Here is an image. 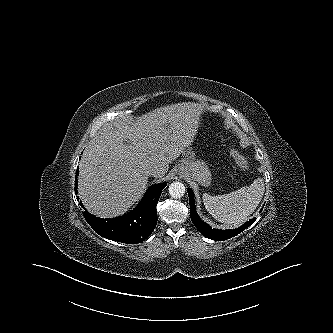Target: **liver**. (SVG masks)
Masks as SVG:
<instances>
[{
    "instance_id": "1",
    "label": "liver",
    "mask_w": 333,
    "mask_h": 333,
    "mask_svg": "<svg viewBox=\"0 0 333 333\" xmlns=\"http://www.w3.org/2000/svg\"><path fill=\"white\" fill-rule=\"evenodd\" d=\"M201 106L178 103L114 126L105 125L83 152L78 192L86 209L101 218L125 213L144 193L148 171L163 177L169 164L190 151Z\"/></svg>"
}]
</instances>
